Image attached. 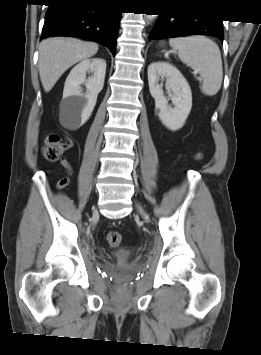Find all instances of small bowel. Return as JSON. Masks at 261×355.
<instances>
[{
    "label": "small bowel",
    "mask_w": 261,
    "mask_h": 355,
    "mask_svg": "<svg viewBox=\"0 0 261 355\" xmlns=\"http://www.w3.org/2000/svg\"><path fill=\"white\" fill-rule=\"evenodd\" d=\"M61 163H62V165H63L65 168L68 169L69 172L71 171V169H70V164H69V162H68L66 159H62V160H61Z\"/></svg>",
    "instance_id": "obj_1"
}]
</instances>
